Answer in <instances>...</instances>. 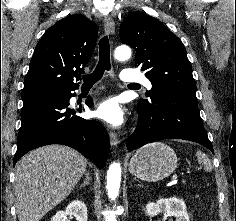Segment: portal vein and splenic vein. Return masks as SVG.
I'll use <instances>...</instances> for the list:
<instances>
[{"label": "portal vein and splenic vein", "instance_id": "18ae733b", "mask_svg": "<svg viewBox=\"0 0 236 221\" xmlns=\"http://www.w3.org/2000/svg\"><path fill=\"white\" fill-rule=\"evenodd\" d=\"M172 180L175 181V182H177V176H174V177L172 178Z\"/></svg>", "mask_w": 236, "mask_h": 221}]
</instances>
